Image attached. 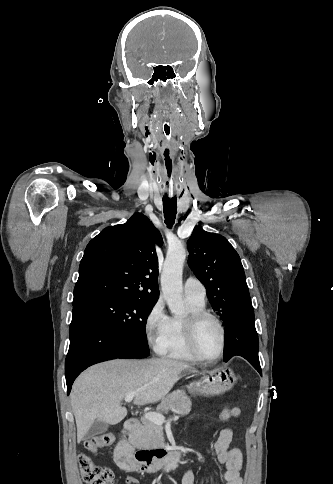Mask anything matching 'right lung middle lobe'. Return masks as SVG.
Wrapping results in <instances>:
<instances>
[{
    "label": "right lung middle lobe",
    "instance_id": "obj_1",
    "mask_svg": "<svg viewBox=\"0 0 333 484\" xmlns=\"http://www.w3.org/2000/svg\"><path fill=\"white\" fill-rule=\"evenodd\" d=\"M155 303L156 300L151 299L91 295L73 306L95 313L111 328L149 354L145 326Z\"/></svg>",
    "mask_w": 333,
    "mask_h": 484
}]
</instances>
